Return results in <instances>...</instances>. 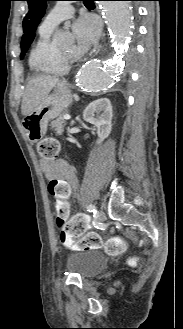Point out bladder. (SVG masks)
Instances as JSON below:
<instances>
[{"label": "bladder", "instance_id": "1", "mask_svg": "<svg viewBox=\"0 0 183 329\" xmlns=\"http://www.w3.org/2000/svg\"><path fill=\"white\" fill-rule=\"evenodd\" d=\"M107 262V259L96 250H83L69 254L66 267L69 272L81 278H89L101 272Z\"/></svg>", "mask_w": 183, "mask_h": 329}]
</instances>
